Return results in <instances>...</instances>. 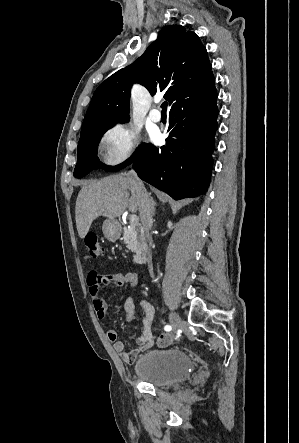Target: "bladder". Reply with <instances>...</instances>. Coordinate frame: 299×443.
Wrapping results in <instances>:
<instances>
[{
	"label": "bladder",
	"mask_w": 299,
	"mask_h": 443,
	"mask_svg": "<svg viewBox=\"0 0 299 443\" xmlns=\"http://www.w3.org/2000/svg\"><path fill=\"white\" fill-rule=\"evenodd\" d=\"M192 371L189 355L180 349H151L140 355L133 364L135 376L155 386L175 384Z\"/></svg>",
	"instance_id": "bladder-1"
}]
</instances>
